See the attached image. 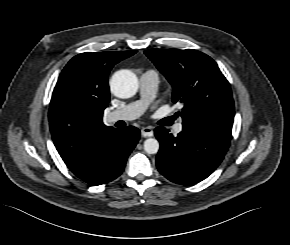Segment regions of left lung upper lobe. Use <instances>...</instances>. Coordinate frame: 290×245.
I'll return each mask as SVG.
<instances>
[{"mask_svg": "<svg viewBox=\"0 0 290 245\" xmlns=\"http://www.w3.org/2000/svg\"><path fill=\"white\" fill-rule=\"evenodd\" d=\"M173 87L172 101L183 126H197L231 139L234 101L230 84L215 61L192 49H150L144 52Z\"/></svg>", "mask_w": 290, "mask_h": 245, "instance_id": "left-lung-upper-lobe-1", "label": "left lung upper lobe"}]
</instances>
